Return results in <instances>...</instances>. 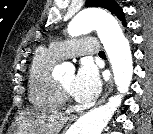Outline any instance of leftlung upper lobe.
<instances>
[{
    "label": "left lung upper lobe",
    "mask_w": 153,
    "mask_h": 134,
    "mask_svg": "<svg viewBox=\"0 0 153 134\" xmlns=\"http://www.w3.org/2000/svg\"><path fill=\"white\" fill-rule=\"evenodd\" d=\"M86 6L101 7L107 9L111 13L115 14L118 17V19L123 22V25L126 26L122 8L114 0H87Z\"/></svg>",
    "instance_id": "1"
}]
</instances>
